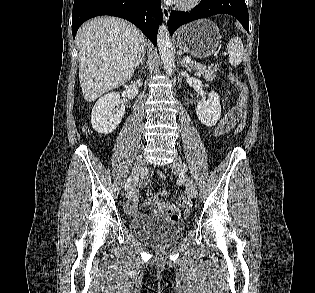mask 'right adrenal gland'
Listing matches in <instances>:
<instances>
[{
  "mask_svg": "<svg viewBox=\"0 0 315 293\" xmlns=\"http://www.w3.org/2000/svg\"><path fill=\"white\" fill-rule=\"evenodd\" d=\"M144 61H145V51L143 52L141 59H140L139 63L137 64V67H139L140 64H143Z\"/></svg>",
  "mask_w": 315,
  "mask_h": 293,
  "instance_id": "obj_1",
  "label": "right adrenal gland"
}]
</instances>
